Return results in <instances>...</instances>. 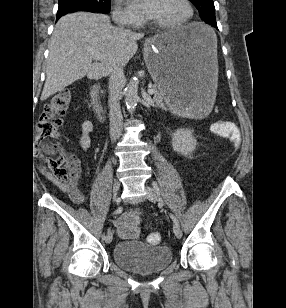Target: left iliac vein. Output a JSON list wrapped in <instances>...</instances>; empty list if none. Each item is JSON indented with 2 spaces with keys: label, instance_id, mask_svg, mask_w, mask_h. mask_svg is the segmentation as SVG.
Wrapping results in <instances>:
<instances>
[{
  "label": "left iliac vein",
  "instance_id": "4c4485c4",
  "mask_svg": "<svg viewBox=\"0 0 286 308\" xmlns=\"http://www.w3.org/2000/svg\"><path fill=\"white\" fill-rule=\"evenodd\" d=\"M145 190H146V196H147L149 201H151V202H159V203L163 204L162 199L157 194L155 189H153L152 187L146 185L145 186ZM173 232H174L175 236L178 239H180L182 237V231H181V227H180L179 223L174 222Z\"/></svg>",
  "mask_w": 286,
  "mask_h": 308
}]
</instances>
